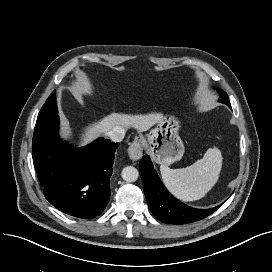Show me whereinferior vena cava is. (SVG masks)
Returning <instances> with one entry per match:
<instances>
[{
  "mask_svg": "<svg viewBox=\"0 0 272 272\" xmlns=\"http://www.w3.org/2000/svg\"><path fill=\"white\" fill-rule=\"evenodd\" d=\"M106 135L108 139L113 142H121L125 136V129L120 126H115L109 132H107Z\"/></svg>",
  "mask_w": 272,
  "mask_h": 272,
  "instance_id": "obj_1",
  "label": "inferior vena cava"
}]
</instances>
